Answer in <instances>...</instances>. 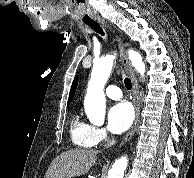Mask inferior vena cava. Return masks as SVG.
Here are the masks:
<instances>
[{
	"mask_svg": "<svg viewBox=\"0 0 194 178\" xmlns=\"http://www.w3.org/2000/svg\"><path fill=\"white\" fill-rule=\"evenodd\" d=\"M115 139L114 138H112L106 145H104V148H109V147H111L112 145H114L115 144Z\"/></svg>",
	"mask_w": 194,
	"mask_h": 178,
	"instance_id": "inferior-vena-cava-1",
	"label": "inferior vena cava"
}]
</instances>
